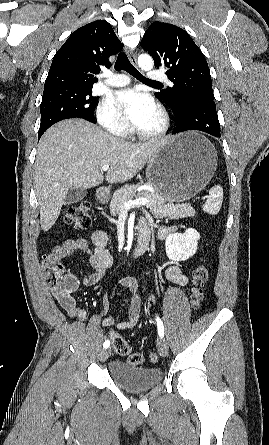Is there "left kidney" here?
Wrapping results in <instances>:
<instances>
[{"label":"left kidney","mask_w":269,"mask_h":445,"mask_svg":"<svg viewBox=\"0 0 269 445\" xmlns=\"http://www.w3.org/2000/svg\"><path fill=\"white\" fill-rule=\"evenodd\" d=\"M199 233L189 228L185 233L170 234L165 241L166 255L173 261H184L192 257L197 251Z\"/></svg>","instance_id":"left-kidney-1"}]
</instances>
